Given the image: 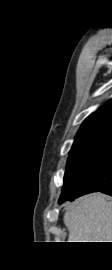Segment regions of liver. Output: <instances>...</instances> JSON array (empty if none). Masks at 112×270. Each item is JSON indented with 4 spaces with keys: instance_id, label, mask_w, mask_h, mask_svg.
I'll list each match as a JSON object with an SVG mask.
<instances>
[{
    "instance_id": "1",
    "label": "liver",
    "mask_w": 112,
    "mask_h": 270,
    "mask_svg": "<svg viewBox=\"0 0 112 270\" xmlns=\"http://www.w3.org/2000/svg\"><path fill=\"white\" fill-rule=\"evenodd\" d=\"M69 242H112V200L100 193L75 201L64 215Z\"/></svg>"
}]
</instances>
